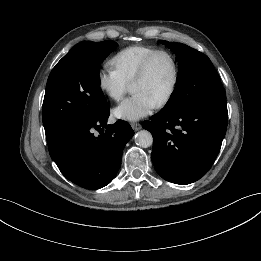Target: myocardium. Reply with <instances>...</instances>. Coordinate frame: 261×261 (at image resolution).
<instances>
[{
    "mask_svg": "<svg viewBox=\"0 0 261 261\" xmlns=\"http://www.w3.org/2000/svg\"><path fill=\"white\" fill-rule=\"evenodd\" d=\"M160 55H164L169 58V60L172 64V68H173V79H172V84L170 86L169 91L164 96V98L157 103V105H156L157 108L165 107L172 100V98L174 97V95L176 93L178 83H179V75H180L179 65H178L176 57L168 50H164V49L156 50L155 52L151 53L144 60L140 69L138 70L137 74L135 75V77L133 78V80L131 82V86H132L136 82L143 80L148 75L153 61Z\"/></svg>",
    "mask_w": 261,
    "mask_h": 261,
    "instance_id": "1",
    "label": "myocardium"
}]
</instances>
